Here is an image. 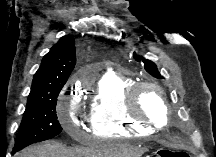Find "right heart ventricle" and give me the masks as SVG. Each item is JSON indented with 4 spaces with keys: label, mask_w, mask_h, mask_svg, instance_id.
I'll return each instance as SVG.
<instances>
[{
    "label": "right heart ventricle",
    "mask_w": 216,
    "mask_h": 157,
    "mask_svg": "<svg viewBox=\"0 0 216 157\" xmlns=\"http://www.w3.org/2000/svg\"><path fill=\"white\" fill-rule=\"evenodd\" d=\"M136 83L126 75L109 72L97 83L90 103L89 124L96 137H131L153 130L148 124L129 116L126 97Z\"/></svg>",
    "instance_id": "right-heart-ventricle-1"
}]
</instances>
